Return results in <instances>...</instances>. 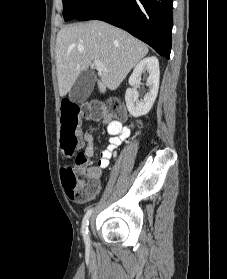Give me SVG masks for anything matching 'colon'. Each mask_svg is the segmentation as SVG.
I'll list each match as a JSON object with an SVG mask.
<instances>
[{"mask_svg":"<svg viewBox=\"0 0 227 279\" xmlns=\"http://www.w3.org/2000/svg\"><path fill=\"white\" fill-rule=\"evenodd\" d=\"M105 109L109 111L115 122L121 123L124 112L118 101L110 102L106 107L97 104L79 105L74 102H65L62 105V118L60 128V147L63 154L73 158L75 166L68 167L62 172L63 186L78 203H84L97 191L94 180H87L81 167L87 164V155L78 152L80 136L76 127L80 119L93 120L105 115ZM117 129V125H114Z\"/></svg>","mask_w":227,"mask_h":279,"instance_id":"colon-1","label":"colon"}]
</instances>
